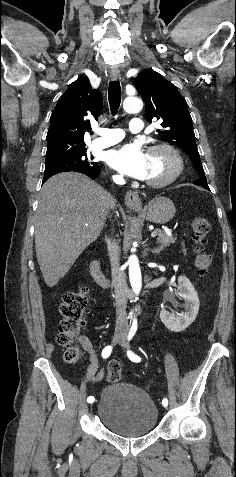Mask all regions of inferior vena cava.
Segmentation results:
<instances>
[{
  "label": "inferior vena cava",
  "instance_id": "obj_1",
  "mask_svg": "<svg viewBox=\"0 0 236 477\" xmlns=\"http://www.w3.org/2000/svg\"><path fill=\"white\" fill-rule=\"evenodd\" d=\"M114 181L118 184H124L123 177H116ZM109 256L112 271V283L115 290L116 304V323L118 325L128 326L126 305L128 297V288L126 284L125 274L120 270L119 264V248L116 240L109 241Z\"/></svg>",
  "mask_w": 236,
  "mask_h": 477
}]
</instances>
